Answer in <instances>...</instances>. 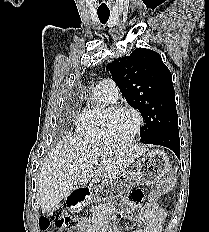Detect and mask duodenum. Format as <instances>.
Instances as JSON below:
<instances>
[{
    "label": "duodenum",
    "mask_w": 209,
    "mask_h": 232,
    "mask_svg": "<svg viewBox=\"0 0 209 232\" xmlns=\"http://www.w3.org/2000/svg\"><path fill=\"white\" fill-rule=\"evenodd\" d=\"M89 188L86 186H79L74 189L69 197V202L72 206H79L84 203L88 198Z\"/></svg>",
    "instance_id": "410a0bca"
}]
</instances>
